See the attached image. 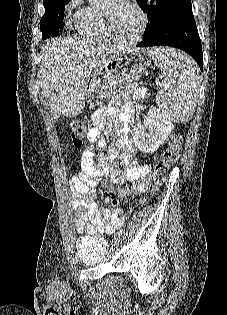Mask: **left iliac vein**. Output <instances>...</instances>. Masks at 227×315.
<instances>
[{
	"label": "left iliac vein",
	"instance_id": "4c4485c4",
	"mask_svg": "<svg viewBox=\"0 0 227 315\" xmlns=\"http://www.w3.org/2000/svg\"><path fill=\"white\" fill-rule=\"evenodd\" d=\"M113 243H114V246H118L120 244V238L116 237Z\"/></svg>",
	"mask_w": 227,
	"mask_h": 315
}]
</instances>
